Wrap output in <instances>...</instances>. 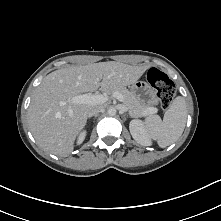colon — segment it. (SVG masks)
<instances>
[{
  "label": "colon",
  "mask_w": 221,
  "mask_h": 221,
  "mask_svg": "<svg viewBox=\"0 0 221 221\" xmlns=\"http://www.w3.org/2000/svg\"><path fill=\"white\" fill-rule=\"evenodd\" d=\"M147 80L156 90L162 109H168L176 94L175 85L172 80L157 68H151L148 71Z\"/></svg>",
  "instance_id": "colon-1"
}]
</instances>
